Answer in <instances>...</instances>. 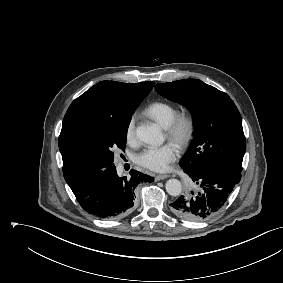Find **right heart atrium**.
<instances>
[{"label":"right heart atrium","instance_id":"right-heart-atrium-1","mask_svg":"<svg viewBox=\"0 0 283 283\" xmlns=\"http://www.w3.org/2000/svg\"><path fill=\"white\" fill-rule=\"evenodd\" d=\"M135 123H136V118L135 116H132L126 125L125 137L127 142L129 143H133L136 140Z\"/></svg>","mask_w":283,"mask_h":283}]
</instances>
